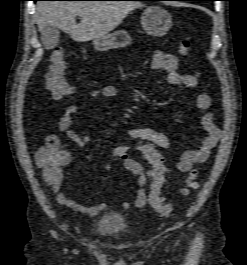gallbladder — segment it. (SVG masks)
<instances>
[{"label": "gallbladder", "mask_w": 247, "mask_h": 265, "mask_svg": "<svg viewBox=\"0 0 247 265\" xmlns=\"http://www.w3.org/2000/svg\"><path fill=\"white\" fill-rule=\"evenodd\" d=\"M60 31L53 25H46L41 31V41L46 49H53L59 41Z\"/></svg>", "instance_id": "gallbladder-1"}]
</instances>
